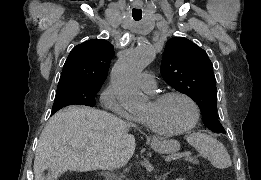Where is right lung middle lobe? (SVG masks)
Wrapping results in <instances>:
<instances>
[{"label": "right lung middle lobe", "mask_w": 261, "mask_h": 180, "mask_svg": "<svg viewBox=\"0 0 261 180\" xmlns=\"http://www.w3.org/2000/svg\"><path fill=\"white\" fill-rule=\"evenodd\" d=\"M101 87L87 85H70L57 87L52 113L59 109L73 105H85L93 107L95 105V95Z\"/></svg>", "instance_id": "obj_1"}]
</instances>
